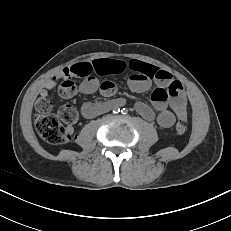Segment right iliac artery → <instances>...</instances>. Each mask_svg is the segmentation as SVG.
Here are the masks:
<instances>
[{
	"label": "right iliac artery",
	"instance_id": "obj_1",
	"mask_svg": "<svg viewBox=\"0 0 231 231\" xmlns=\"http://www.w3.org/2000/svg\"><path fill=\"white\" fill-rule=\"evenodd\" d=\"M119 112H120V108L118 107L113 108V113H119Z\"/></svg>",
	"mask_w": 231,
	"mask_h": 231
}]
</instances>
